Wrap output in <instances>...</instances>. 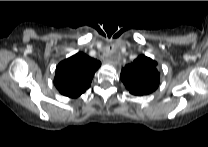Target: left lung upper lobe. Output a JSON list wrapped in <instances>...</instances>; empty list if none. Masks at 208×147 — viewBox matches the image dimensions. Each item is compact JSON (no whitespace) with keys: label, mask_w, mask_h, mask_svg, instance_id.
I'll use <instances>...</instances> for the list:
<instances>
[{"label":"left lung upper lobe","mask_w":208,"mask_h":147,"mask_svg":"<svg viewBox=\"0 0 208 147\" xmlns=\"http://www.w3.org/2000/svg\"><path fill=\"white\" fill-rule=\"evenodd\" d=\"M120 78L131 94L152 93L158 88L160 81L157 62L141 55L122 69Z\"/></svg>","instance_id":"5c2ea615"}]
</instances>
